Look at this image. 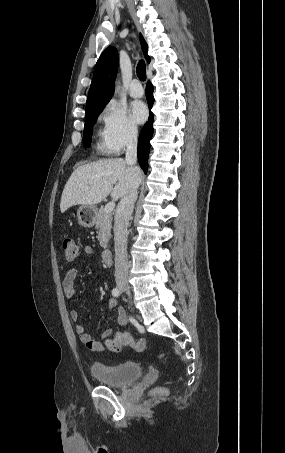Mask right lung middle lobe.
I'll return each instance as SVG.
<instances>
[{
	"label": "right lung middle lobe",
	"mask_w": 285,
	"mask_h": 453,
	"mask_svg": "<svg viewBox=\"0 0 285 453\" xmlns=\"http://www.w3.org/2000/svg\"><path fill=\"white\" fill-rule=\"evenodd\" d=\"M102 110L103 109L85 114V127H84L85 129L83 132L84 147H90L92 127Z\"/></svg>",
	"instance_id": "obj_1"
}]
</instances>
